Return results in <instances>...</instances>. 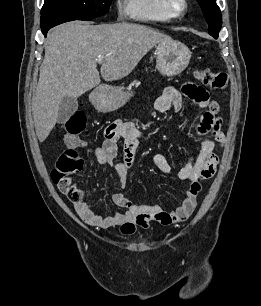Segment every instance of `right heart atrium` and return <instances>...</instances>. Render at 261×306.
<instances>
[{"label": "right heart atrium", "instance_id": "d8ad5b80", "mask_svg": "<svg viewBox=\"0 0 261 306\" xmlns=\"http://www.w3.org/2000/svg\"><path fill=\"white\" fill-rule=\"evenodd\" d=\"M115 9L119 17L127 13L126 0H115Z\"/></svg>", "mask_w": 261, "mask_h": 306}]
</instances>
